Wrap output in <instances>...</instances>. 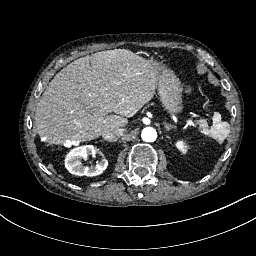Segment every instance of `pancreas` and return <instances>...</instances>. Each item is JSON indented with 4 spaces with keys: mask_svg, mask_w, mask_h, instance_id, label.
I'll use <instances>...</instances> for the list:
<instances>
[{
    "mask_svg": "<svg viewBox=\"0 0 256 256\" xmlns=\"http://www.w3.org/2000/svg\"><path fill=\"white\" fill-rule=\"evenodd\" d=\"M198 124H199L201 129H205L208 126V124L205 120H199Z\"/></svg>",
    "mask_w": 256,
    "mask_h": 256,
    "instance_id": "1",
    "label": "pancreas"
}]
</instances>
